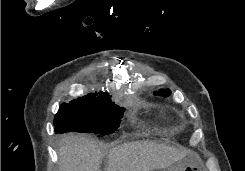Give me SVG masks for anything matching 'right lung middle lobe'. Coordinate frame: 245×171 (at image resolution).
<instances>
[{
	"mask_svg": "<svg viewBox=\"0 0 245 171\" xmlns=\"http://www.w3.org/2000/svg\"><path fill=\"white\" fill-rule=\"evenodd\" d=\"M124 111L111 99L71 101L60 106L54 119V131L111 134L119 128Z\"/></svg>",
	"mask_w": 245,
	"mask_h": 171,
	"instance_id": "dd1d6c3e",
	"label": "right lung middle lobe"
}]
</instances>
